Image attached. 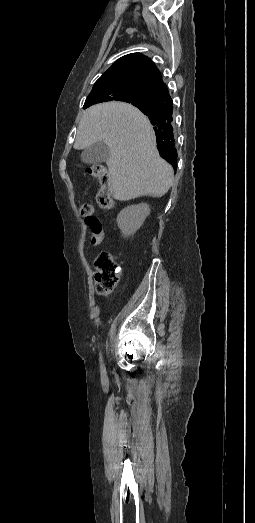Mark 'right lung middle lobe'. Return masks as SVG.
Here are the masks:
<instances>
[{
	"mask_svg": "<svg viewBox=\"0 0 255 523\" xmlns=\"http://www.w3.org/2000/svg\"><path fill=\"white\" fill-rule=\"evenodd\" d=\"M106 99L109 101L119 100V101H125L128 103L143 102L148 99V95L146 92L139 90V89H127V90H123L118 93L112 94L110 96H106Z\"/></svg>",
	"mask_w": 255,
	"mask_h": 523,
	"instance_id": "right-lung-middle-lobe-1",
	"label": "right lung middle lobe"
}]
</instances>
